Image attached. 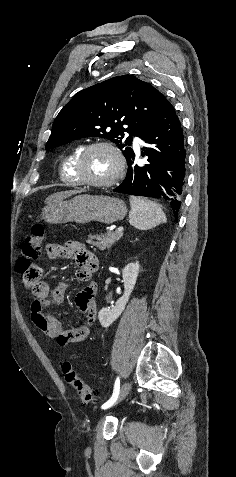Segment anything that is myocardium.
Returning <instances> with one entry per match:
<instances>
[{
	"instance_id": "1",
	"label": "myocardium",
	"mask_w": 236,
	"mask_h": 477,
	"mask_svg": "<svg viewBox=\"0 0 236 477\" xmlns=\"http://www.w3.org/2000/svg\"><path fill=\"white\" fill-rule=\"evenodd\" d=\"M95 148H105V149L109 150L114 155V157L116 159V165H117L116 171H115L114 175L107 180L93 181V180L86 179L82 175L83 160L86 157V155L92 149H95ZM124 170H125V159H124L122 153L120 152V150L116 146H114L111 143L105 142V141H96V142H93V143H90V144L86 145L79 152V154L77 155V157L75 159V162H74V173H75L79 183L84 184V185H89V186H92V187H96V188H107V187L113 186L114 184H116L122 178V176L124 174Z\"/></svg>"
}]
</instances>
